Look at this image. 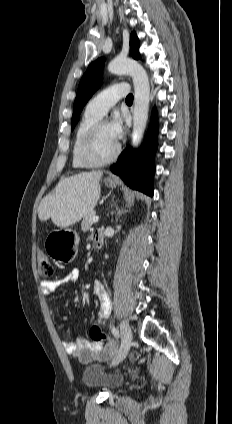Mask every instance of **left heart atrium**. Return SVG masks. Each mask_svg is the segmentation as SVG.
Instances as JSON below:
<instances>
[{
  "mask_svg": "<svg viewBox=\"0 0 232 424\" xmlns=\"http://www.w3.org/2000/svg\"><path fill=\"white\" fill-rule=\"evenodd\" d=\"M110 131L113 138L118 142L125 133V125L123 119L117 115L109 123Z\"/></svg>",
  "mask_w": 232,
  "mask_h": 424,
  "instance_id": "39dd6f15",
  "label": "left heart atrium"
}]
</instances>
